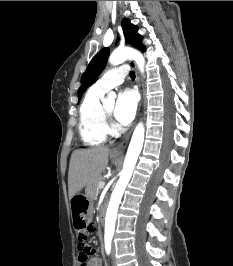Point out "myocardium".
Segmentation results:
<instances>
[{"mask_svg": "<svg viewBox=\"0 0 233 266\" xmlns=\"http://www.w3.org/2000/svg\"><path fill=\"white\" fill-rule=\"evenodd\" d=\"M102 111H103V115H104L105 120H109V119L111 118V114H109V113L106 111V109H105L104 106H102Z\"/></svg>", "mask_w": 233, "mask_h": 266, "instance_id": "f54148a6", "label": "myocardium"}]
</instances>
